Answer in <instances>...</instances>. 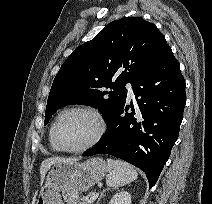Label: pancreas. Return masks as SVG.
Instances as JSON below:
<instances>
[{
    "instance_id": "pancreas-1",
    "label": "pancreas",
    "mask_w": 212,
    "mask_h": 204,
    "mask_svg": "<svg viewBox=\"0 0 212 204\" xmlns=\"http://www.w3.org/2000/svg\"><path fill=\"white\" fill-rule=\"evenodd\" d=\"M63 199L65 202H67V204H86L85 202L81 203L80 202V198L78 196V193L73 192V191H65L62 194ZM91 196V194H89L86 197H83L81 200L83 201H88V198Z\"/></svg>"
}]
</instances>
